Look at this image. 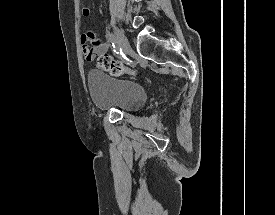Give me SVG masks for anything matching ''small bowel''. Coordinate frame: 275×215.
Here are the masks:
<instances>
[{
  "instance_id": "obj_1",
  "label": "small bowel",
  "mask_w": 275,
  "mask_h": 215,
  "mask_svg": "<svg viewBox=\"0 0 275 215\" xmlns=\"http://www.w3.org/2000/svg\"><path fill=\"white\" fill-rule=\"evenodd\" d=\"M91 10L85 6L82 8V15L89 17ZM80 43L82 47V56L85 61H93L96 56L105 54L108 51V44L99 40L93 31H86L80 36ZM91 44V45H90Z\"/></svg>"
}]
</instances>
